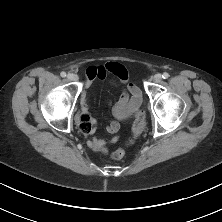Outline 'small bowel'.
Segmentation results:
<instances>
[{"instance_id":"c3829d8e","label":"small bowel","mask_w":222,"mask_h":222,"mask_svg":"<svg viewBox=\"0 0 222 222\" xmlns=\"http://www.w3.org/2000/svg\"><path fill=\"white\" fill-rule=\"evenodd\" d=\"M107 64L105 66L96 65L90 66L86 70L87 74V84H90L95 79H105L109 74L117 77L123 83L126 84V91L120 96V98L112 105L111 111L114 117L108 126V133L115 135L120 128V121L124 119L128 114L132 113L140 104L141 101V93L138 87L132 83H128V75L126 70L120 65L113 63L115 65ZM88 107L86 103V99L83 100L81 107V114H88ZM95 132V120L92 119L91 127L86 130L84 133L91 136L89 139V146L99 152H107L108 143H114L117 141V137L114 136L110 141H106L104 139H100L92 136Z\"/></svg>"}]
</instances>
